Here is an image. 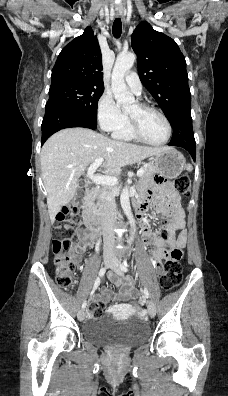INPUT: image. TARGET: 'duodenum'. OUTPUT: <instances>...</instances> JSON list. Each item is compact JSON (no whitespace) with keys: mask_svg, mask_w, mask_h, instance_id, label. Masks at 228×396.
<instances>
[{"mask_svg":"<svg viewBox=\"0 0 228 396\" xmlns=\"http://www.w3.org/2000/svg\"><path fill=\"white\" fill-rule=\"evenodd\" d=\"M91 193H92V186H89L86 189V198L88 203L83 210V219L86 228L97 235L103 231V220L101 219V217L96 215L92 210Z\"/></svg>","mask_w":228,"mask_h":396,"instance_id":"obj_1","label":"duodenum"}]
</instances>
